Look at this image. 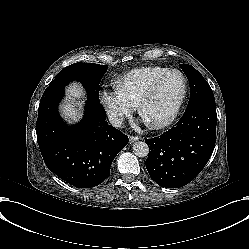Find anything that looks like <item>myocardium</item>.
<instances>
[{"label": "myocardium", "mask_w": 249, "mask_h": 249, "mask_svg": "<svg viewBox=\"0 0 249 249\" xmlns=\"http://www.w3.org/2000/svg\"><path fill=\"white\" fill-rule=\"evenodd\" d=\"M173 76H177L180 79V82L182 85L181 94H180V97L175 105L174 110L172 111V113L170 114V116L166 120H163L160 122H153V121L146 119L144 116V113H143L144 108L146 107V105L150 101H152L155 98V96L157 95L159 90L162 87H164L169 82L171 77H173ZM185 94H186V82H185V78H184L183 74L178 70L170 71L158 80V82L153 86L151 91L140 102V104L138 105L137 115H138L139 119L149 128L166 127V126L170 125L173 122V120L176 118V116L178 115L180 108L183 104Z\"/></svg>", "instance_id": "obj_1"}]
</instances>
